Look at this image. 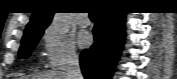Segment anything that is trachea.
<instances>
[{
    "mask_svg": "<svg viewBox=\"0 0 177 79\" xmlns=\"http://www.w3.org/2000/svg\"><path fill=\"white\" fill-rule=\"evenodd\" d=\"M90 18H97V14H96V12H92V13H90Z\"/></svg>",
    "mask_w": 177,
    "mask_h": 79,
    "instance_id": "obj_1",
    "label": "trachea"
}]
</instances>
